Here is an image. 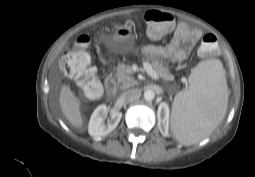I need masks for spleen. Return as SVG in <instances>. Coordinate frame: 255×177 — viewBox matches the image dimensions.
Returning <instances> with one entry per match:
<instances>
[{"mask_svg":"<svg viewBox=\"0 0 255 177\" xmlns=\"http://www.w3.org/2000/svg\"><path fill=\"white\" fill-rule=\"evenodd\" d=\"M228 103L225 71L218 59L201 61L189 76V88L176 94L171 131L188 146L209 136L224 119Z\"/></svg>","mask_w":255,"mask_h":177,"instance_id":"spleen-1","label":"spleen"}]
</instances>
